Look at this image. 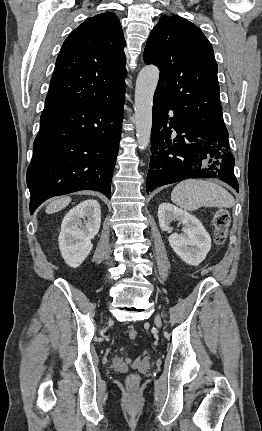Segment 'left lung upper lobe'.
<instances>
[{
	"label": "left lung upper lobe",
	"mask_w": 262,
	"mask_h": 431,
	"mask_svg": "<svg viewBox=\"0 0 262 431\" xmlns=\"http://www.w3.org/2000/svg\"><path fill=\"white\" fill-rule=\"evenodd\" d=\"M144 61L160 68L156 93L192 126L206 133L226 129L213 48L197 26L162 16L147 40Z\"/></svg>",
	"instance_id": "5c2ea615"
}]
</instances>
